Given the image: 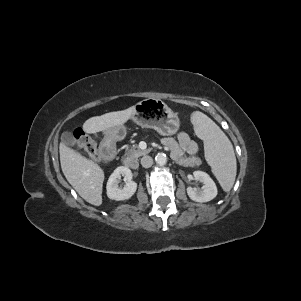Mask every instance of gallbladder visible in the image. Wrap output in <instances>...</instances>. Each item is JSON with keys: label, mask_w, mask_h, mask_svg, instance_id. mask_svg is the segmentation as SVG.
<instances>
[{"label": "gallbladder", "mask_w": 301, "mask_h": 301, "mask_svg": "<svg viewBox=\"0 0 301 301\" xmlns=\"http://www.w3.org/2000/svg\"><path fill=\"white\" fill-rule=\"evenodd\" d=\"M61 140L63 143L69 146H74L76 144V138L74 137L73 133L68 131L62 133Z\"/></svg>", "instance_id": "1"}]
</instances>
